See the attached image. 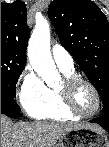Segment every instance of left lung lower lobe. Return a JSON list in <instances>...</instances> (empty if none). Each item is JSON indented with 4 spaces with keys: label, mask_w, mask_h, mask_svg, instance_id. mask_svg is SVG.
Returning a JSON list of instances; mask_svg holds the SVG:
<instances>
[{
    "label": "left lung lower lobe",
    "mask_w": 109,
    "mask_h": 147,
    "mask_svg": "<svg viewBox=\"0 0 109 147\" xmlns=\"http://www.w3.org/2000/svg\"><path fill=\"white\" fill-rule=\"evenodd\" d=\"M90 122L101 125L107 132H109V112L103 113L101 116L90 120Z\"/></svg>",
    "instance_id": "1"
}]
</instances>
